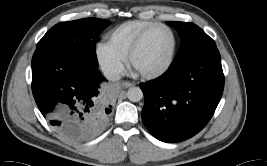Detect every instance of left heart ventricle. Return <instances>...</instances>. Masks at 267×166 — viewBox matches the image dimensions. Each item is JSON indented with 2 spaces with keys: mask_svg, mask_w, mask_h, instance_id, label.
Here are the masks:
<instances>
[{
  "mask_svg": "<svg viewBox=\"0 0 267 166\" xmlns=\"http://www.w3.org/2000/svg\"><path fill=\"white\" fill-rule=\"evenodd\" d=\"M172 46V35L167 29L153 31L134 56V69L138 72H152L162 68L169 60Z\"/></svg>",
  "mask_w": 267,
  "mask_h": 166,
  "instance_id": "1",
  "label": "left heart ventricle"
}]
</instances>
